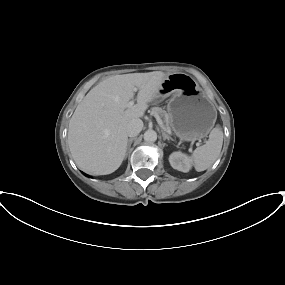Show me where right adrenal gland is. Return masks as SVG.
<instances>
[{
    "mask_svg": "<svg viewBox=\"0 0 285 285\" xmlns=\"http://www.w3.org/2000/svg\"><path fill=\"white\" fill-rule=\"evenodd\" d=\"M133 140H135V138H130V139L128 140L127 150H129V149H130V147H131V144H132ZM126 155H127V154H126Z\"/></svg>",
    "mask_w": 285,
    "mask_h": 285,
    "instance_id": "1",
    "label": "right adrenal gland"
}]
</instances>
